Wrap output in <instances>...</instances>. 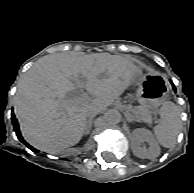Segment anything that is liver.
<instances>
[{
  "label": "liver",
  "mask_w": 194,
  "mask_h": 193,
  "mask_svg": "<svg viewBox=\"0 0 194 193\" xmlns=\"http://www.w3.org/2000/svg\"><path fill=\"white\" fill-rule=\"evenodd\" d=\"M140 73L132 61L109 53L43 56L22 76L15 95L14 111L24 139L51 154L77 144L88 113L112 105ZM76 84L93 98L83 94L68 99Z\"/></svg>",
  "instance_id": "liver-1"
}]
</instances>
